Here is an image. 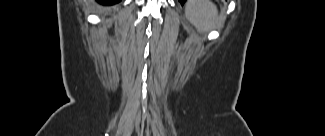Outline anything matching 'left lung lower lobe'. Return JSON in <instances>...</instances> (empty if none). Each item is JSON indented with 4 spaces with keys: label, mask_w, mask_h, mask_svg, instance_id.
<instances>
[{
    "label": "left lung lower lobe",
    "mask_w": 325,
    "mask_h": 136,
    "mask_svg": "<svg viewBox=\"0 0 325 136\" xmlns=\"http://www.w3.org/2000/svg\"><path fill=\"white\" fill-rule=\"evenodd\" d=\"M181 5H183L185 3L186 0H179Z\"/></svg>",
    "instance_id": "1"
}]
</instances>
